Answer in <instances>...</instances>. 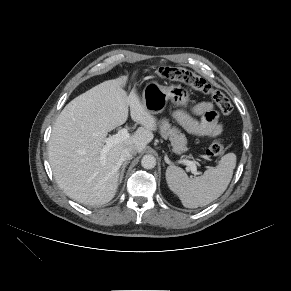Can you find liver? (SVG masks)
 <instances>
[{
  "label": "liver",
  "instance_id": "1",
  "mask_svg": "<svg viewBox=\"0 0 291 291\" xmlns=\"http://www.w3.org/2000/svg\"><path fill=\"white\" fill-rule=\"evenodd\" d=\"M126 81L127 76L104 81L74 98L53 127L48 154L55 180L79 203L94 206L111 201L118 188L121 151L132 146L142 152L154 137L156 118L135 88L127 97ZM129 106L132 120L141 127L103 154L108 132L127 121Z\"/></svg>",
  "mask_w": 291,
  "mask_h": 291
}]
</instances>
